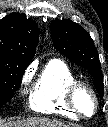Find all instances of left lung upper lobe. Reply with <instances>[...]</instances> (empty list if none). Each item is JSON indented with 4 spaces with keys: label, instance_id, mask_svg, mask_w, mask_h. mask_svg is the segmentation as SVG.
Wrapping results in <instances>:
<instances>
[{
    "label": "left lung upper lobe",
    "instance_id": "left-lung-upper-lobe-1",
    "mask_svg": "<svg viewBox=\"0 0 108 127\" xmlns=\"http://www.w3.org/2000/svg\"><path fill=\"white\" fill-rule=\"evenodd\" d=\"M51 37L60 53L89 71L99 95L103 96L101 64L89 34L71 20H57L51 23Z\"/></svg>",
    "mask_w": 108,
    "mask_h": 127
}]
</instances>
